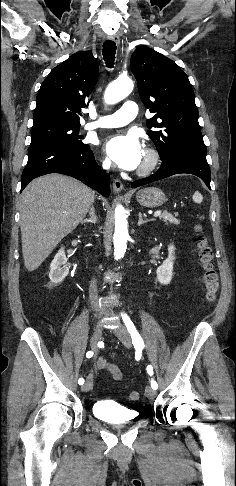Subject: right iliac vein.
<instances>
[{
  "mask_svg": "<svg viewBox=\"0 0 236 486\" xmlns=\"http://www.w3.org/2000/svg\"><path fill=\"white\" fill-rule=\"evenodd\" d=\"M101 339H102V327L100 325H97L94 329V332L90 340V345L94 351L97 350L98 343L101 341ZM92 386H93V376L90 374L87 377V380L85 381L81 390L83 392H87L92 388Z\"/></svg>",
  "mask_w": 236,
  "mask_h": 486,
  "instance_id": "right-iliac-vein-1",
  "label": "right iliac vein"
}]
</instances>
